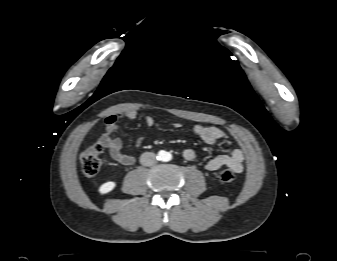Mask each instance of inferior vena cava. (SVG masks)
I'll list each match as a JSON object with an SVG mask.
<instances>
[{"label":"inferior vena cava","mask_w":337,"mask_h":261,"mask_svg":"<svg viewBox=\"0 0 337 261\" xmlns=\"http://www.w3.org/2000/svg\"><path fill=\"white\" fill-rule=\"evenodd\" d=\"M140 163L143 166H153L156 164V155L152 152H145L140 157Z\"/></svg>","instance_id":"inferior-vena-cava-1"}]
</instances>
